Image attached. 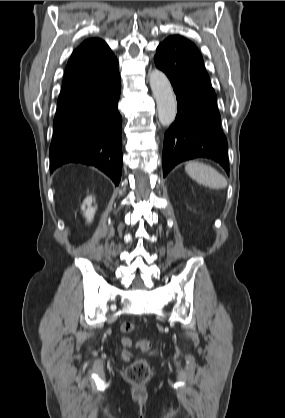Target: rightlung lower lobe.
<instances>
[{"label": "right lung lower lobe", "instance_id": "1", "mask_svg": "<svg viewBox=\"0 0 285 418\" xmlns=\"http://www.w3.org/2000/svg\"><path fill=\"white\" fill-rule=\"evenodd\" d=\"M119 72L98 86L57 104L50 145V172L66 163L99 168L118 185L122 170Z\"/></svg>", "mask_w": 285, "mask_h": 418}]
</instances>
